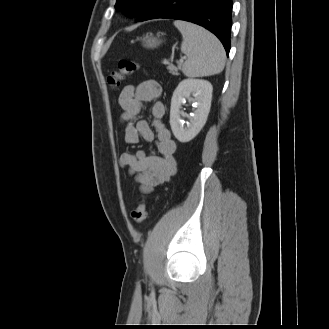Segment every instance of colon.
I'll list each match as a JSON object with an SVG mask.
<instances>
[{
	"label": "colon",
	"instance_id": "obj_1",
	"mask_svg": "<svg viewBox=\"0 0 329 329\" xmlns=\"http://www.w3.org/2000/svg\"><path fill=\"white\" fill-rule=\"evenodd\" d=\"M139 69V66L136 62L130 59H121L118 63L117 70L113 71L108 76V84L114 88H119L121 81ZM131 217L133 221L137 224H142L147 217V205L143 197L139 198V203L137 207L132 211Z\"/></svg>",
	"mask_w": 329,
	"mask_h": 329
}]
</instances>
